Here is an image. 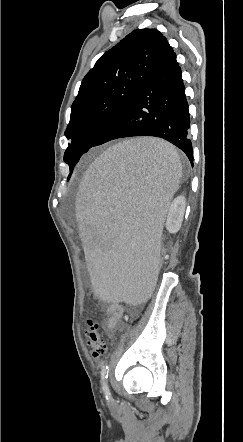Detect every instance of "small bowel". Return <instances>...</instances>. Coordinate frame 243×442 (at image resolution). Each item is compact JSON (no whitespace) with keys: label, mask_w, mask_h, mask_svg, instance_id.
I'll return each mask as SVG.
<instances>
[{"label":"small bowel","mask_w":243,"mask_h":442,"mask_svg":"<svg viewBox=\"0 0 243 442\" xmlns=\"http://www.w3.org/2000/svg\"><path fill=\"white\" fill-rule=\"evenodd\" d=\"M123 315V308L120 305L113 304L107 309L106 331L109 336L114 335L118 328L119 320Z\"/></svg>","instance_id":"c3829d8e"}]
</instances>
